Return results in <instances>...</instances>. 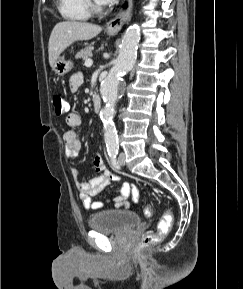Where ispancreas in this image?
<instances>
[{"label":"pancreas","mask_w":243,"mask_h":289,"mask_svg":"<svg viewBox=\"0 0 243 289\" xmlns=\"http://www.w3.org/2000/svg\"><path fill=\"white\" fill-rule=\"evenodd\" d=\"M90 57H92V47L91 46L85 47L84 49L79 51L75 56L76 59H83V60H87Z\"/></svg>","instance_id":"cf45deb5"}]
</instances>
